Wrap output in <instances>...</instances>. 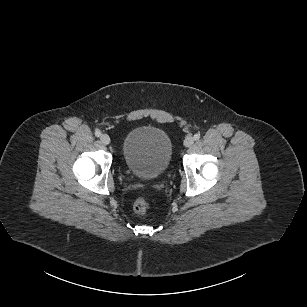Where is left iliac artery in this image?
Wrapping results in <instances>:
<instances>
[{"mask_svg":"<svg viewBox=\"0 0 307 307\" xmlns=\"http://www.w3.org/2000/svg\"><path fill=\"white\" fill-rule=\"evenodd\" d=\"M193 138L194 140H198L200 138V134L199 133L195 134Z\"/></svg>","mask_w":307,"mask_h":307,"instance_id":"44dca946","label":"left iliac artery"}]
</instances>
